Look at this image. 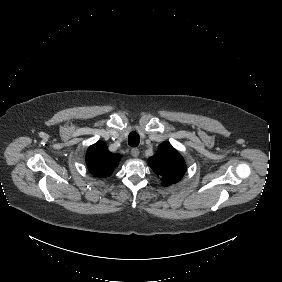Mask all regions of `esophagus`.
<instances>
[{
	"mask_svg": "<svg viewBox=\"0 0 282 282\" xmlns=\"http://www.w3.org/2000/svg\"><path fill=\"white\" fill-rule=\"evenodd\" d=\"M131 155L137 158L139 156V150L137 148L131 149Z\"/></svg>",
	"mask_w": 282,
	"mask_h": 282,
	"instance_id": "1",
	"label": "esophagus"
}]
</instances>
